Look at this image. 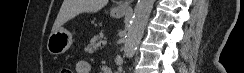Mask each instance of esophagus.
<instances>
[{
    "label": "esophagus",
    "instance_id": "obj_1",
    "mask_svg": "<svg viewBox=\"0 0 244 73\" xmlns=\"http://www.w3.org/2000/svg\"><path fill=\"white\" fill-rule=\"evenodd\" d=\"M132 2H133V0L123 1L119 4L118 8L121 10H128V9H130V5Z\"/></svg>",
    "mask_w": 244,
    "mask_h": 73
}]
</instances>
